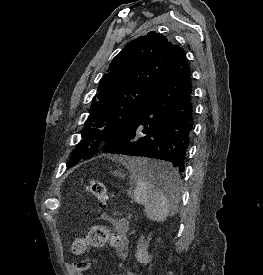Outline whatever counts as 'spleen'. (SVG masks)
I'll return each instance as SVG.
<instances>
[{
	"label": "spleen",
	"instance_id": "1",
	"mask_svg": "<svg viewBox=\"0 0 263 275\" xmlns=\"http://www.w3.org/2000/svg\"><path fill=\"white\" fill-rule=\"evenodd\" d=\"M122 164L131 174V179L135 183L133 199L144 206V211L148 219L156 222H163L170 214V209L179 200V178L177 185L171 195L175 194L173 202L166 194L155 187L145 174L146 169L169 170L170 166L165 162L149 161L145 158H126Z\"/></svg>",
	"mask_w": 263,
	"mask_h": 275
}]
</instances>
